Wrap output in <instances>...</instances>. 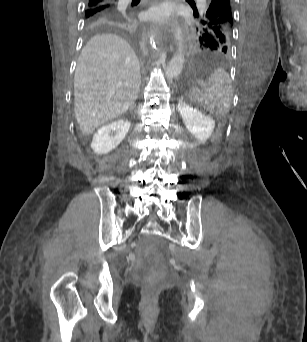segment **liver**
Listing matches in <instances>:
<instances>
[{"label":"liver","mask_w":307,"mask_h":342,"mask_svg":"<svg viewBox=\"0 0 307 342\" xmlns=\"http://www.w3.org/2000/svg\"><path fill=\"white\" fill-rule=\"evenodd\" d=\"M140 86L139 60L126 40L115 34L91 38L74 76V112L83 136L125 114Z\"/></svg>","instance_id":"liver-1"}]
</instances>
